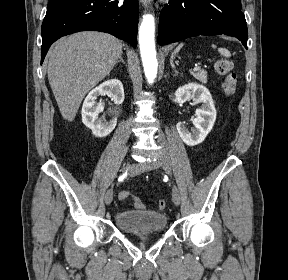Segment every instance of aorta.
<instances>
[{
	"mask_svg": "<svg viewBox=\"0 0 288 280\" xmlns=\"http://www.w3.org/2000/svg\"><path fill=\"white\" fill-rule=\"evenodd\" d=\"M139 45L145 76L152 84L157 76L158 62L155 50V20L153 15L143 16L139 28Z\"/></svg>",
	"mask_w": 288,
	"mask_h": 280,
	"instance_id": "1",
	"label": "aorta"
}]
</instances>
